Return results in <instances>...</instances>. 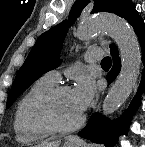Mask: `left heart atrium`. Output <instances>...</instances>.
<instances>
[{"label":"left heart atrium","mask_w":145,"mask_h":147,"mask_svg":"<svg viewBox=\"0 0 145 147\" xmlns=\"http://www.w3.org/2000/svg\"><path fill=\"white\" fill-rule=\"evenodd\" d=\"M71 92L79 111L83 113L94 96V84L87 76H80Z\"/></svg>","instance_id":"obj_1"}]
</instances>
